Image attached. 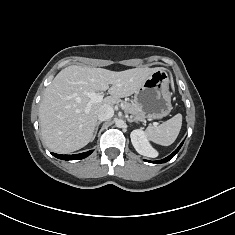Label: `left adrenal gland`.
Instances as JSON below:
<instances>
[{
	"instance_id": "1",
	"label": "left adrenal gland",
	"mask_w": 235,
	"mask_h": 235,
	"mask_svg": "<svg viewBox=\"0 0 235 235\" xmlns=\"http://www.w3.org/2000/svg\"><path fill=\"white\" fill-rule=\"evenodd\" d=\"M127 120H128L129 123L134 122V120H133V119H130V118H128Z\"/></svg>"
}]
</instances>
